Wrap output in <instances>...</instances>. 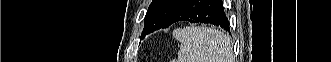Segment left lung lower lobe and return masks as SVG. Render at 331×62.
<instances>
[{
    "label": "left lung lower lobe",
    "mask_w": 331,
    "mask_h": 62,
    "mask_svg": "<svg viewBox=\"0 0 331 62\" xmlns=\"http://www.w3.org/2000/svg\"><path fill=\"white\" fill-rule=\"evenodd\" d=\"M179 21L210 23L220 26L226 31L230 30L229 21L224 13L221 0H185L162 28L169 27ZM148 33L151 32L143 31L141 39Z\"/></svg>",
    "instance_id": "0a47b994"
}]
</instances>
